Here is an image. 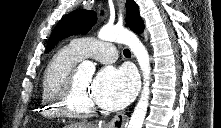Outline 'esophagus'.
<instances>
[{
  "instance_id": "1",
  "label": "esophagus",
  "mask_w": 221,
  "mask_h": 128,
  "mask_svg": "<svg viewBox=\"0 0 221 128\" xmlns=\"http://www.w3.org/2000/svg\"><path fill=\"white\" fill-rule=\"evenodd\" d=\"M119 4L121 6V9L124 12L125 1L119 0ZM128 120L129 118L125 113L119 112L111 121H109L108 123H99L97 124V127L98 128H124L126 127Z\"/></svg>"
}]
</instances>
